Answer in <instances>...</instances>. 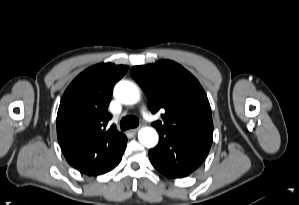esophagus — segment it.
<instances>
[{
	"label": "esophagus",
	"instance_id": "obj_1",
	"mask_svg": "<svg viewBox=\"0 0 299 205\" xmlns=\"http://www.w3.org/2000/svg\"><path fill=\"white\" fill-rule=\"evenodd\" d=\"M139 130H140V127H137V128L131 129V132L132 133H137Z\"/></svg>",
	"mask_w": 299,
	"mask_h": 205
}]
</instances>
